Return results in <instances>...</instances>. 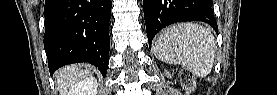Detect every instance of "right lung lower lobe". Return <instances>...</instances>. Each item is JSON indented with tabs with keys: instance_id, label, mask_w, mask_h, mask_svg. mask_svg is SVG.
<instances>
[{
	"instance_id": "obj_1",
	"label": "right lung lower lobe",
	"mask_w": 277,
	"mask_h": 95,
	"mask_svg": "<svg viewBox=\"0 0 277 95\" xmlns=\"http://www.w3.org/2000/svg\"><path fill=\"white\" fill-rule=\"evenodd\" d=\"M111 0H46L44 48L51 75L58 68L89 62L107 73Z\"/></svg>"
}]
</instances>
